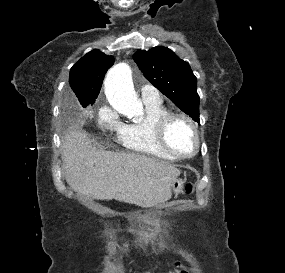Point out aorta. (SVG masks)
Listing matches in <instances>:
<instances>
[{
	"label": "aorta",
	"instance_id": "aorta-1",
	"mask_svg": "<svg viewBox=\"0 0 285 273\" xmlns=\"http://www.w3.org/2000/svg\"><path fill=\"white\" fill-rule=\"evenodd\" d=\"M105 94L110 105L119 113L140 117L143 105L138 99L132 82L131 68L126 63L113 66L105 78Z\"/></svg>",
	"mask_w": 285,
	"mask_h": 273
}]
</instances>
